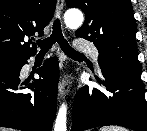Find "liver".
Here are the masks:
<instances>
[{
    "mask_svg": "<svg viewBox=\"0 0 147 131\" xmlns=\"http://www.w3.org/2000/svg\"><path fill=\"white\" fill-rule=\"evenodd\" d=\"M0 131H9V130H8V129H1V128H0Z\"/></svg>",
    "mask_w": 147,
    "mask_h": 131,
    "instance_id": "liver-1",
    "label": "liver"
}]
</instances>
